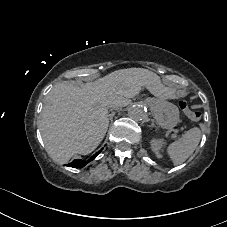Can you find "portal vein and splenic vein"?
Wrapping results in <instances>:
<instances>
[{"label":"portal vein and splenic vein","instance_id":"portal-vein-and-splenic-vein-1","mask_svg":"<svg viewBox=\"0 0 227 227\" xmlns=\"http://www.w3.org/2000/svg\"><path fill=\"white\" fill-rule=\"evenodd\" d=\"M177 131H178V132H181V133L183 132V131H182V130H180V129H178ZM177 131L175 132L176 134L178 133ZM175 133L172 135L174 138H176V137H177V135H176Z\"/></svg>","mask_w":227,"mask_h":227}]
</instances>
